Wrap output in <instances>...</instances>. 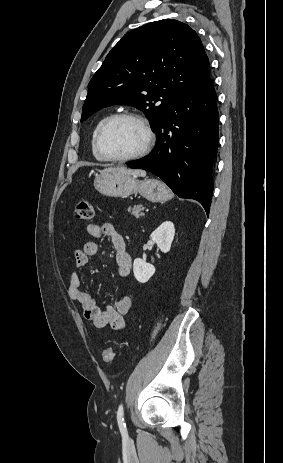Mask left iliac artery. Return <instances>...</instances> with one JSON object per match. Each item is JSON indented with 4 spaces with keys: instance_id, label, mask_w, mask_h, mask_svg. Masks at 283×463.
Returning a JSON list of instances; mask_svg holds the SVG:
<instances>
[{
    "instance_id": "1",
    "label": "left iliac artery",
    "mask_w": 283,
    "mask_h": 463,
    "mask_svg": "<svg viewBox=\"0 0 283 463\" xmlns=\"http://www.w3.org/2000/svg\"><path fill=\"white\" fill-rule=\"evenodd\" d=\"M117 422H118V426L121 431V434L123 436H127V429H126V424L124 421V410H123L122 404L119 405V408L117 411Z\"/></svg>"
}]
</instances>
